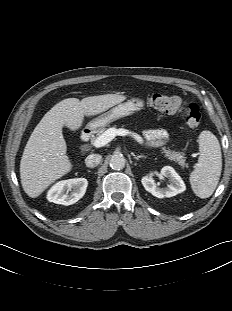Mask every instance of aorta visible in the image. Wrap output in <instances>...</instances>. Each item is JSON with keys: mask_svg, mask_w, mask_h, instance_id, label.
<instances>
[{"mask_svg": "<svg viewBox=\"0 0 232 311\" xmlns=\"http://www.w3.org/2000/svg\"><path fill=\"white\" fill-rule=\"evenodd\" d=\"M126 159L122 154H114L110 159V167L114 170H121L125 167Z\"/></svg>", "mask_w": 232, "mask_h": 311, "instance_id": "762f6f07", "label": "aorta"}]
</instances>
